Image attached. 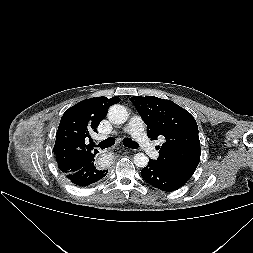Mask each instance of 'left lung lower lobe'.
Wrapping results in <instances>:
<instances>
[{
  "label": "left lung lower lobe",
  "instance_id": "left-lung-lower-lobe-1",
  "mask_svg": "<svg viewBox=\"0 0 253 253\" xmlns=\"http://www.w3.org/2000/svg\"><path fill=\"white\" fill-rule=\"evenodd\" d=\"M141 175L148 184L162 191H174L186 183L152 159H149L148 165L141 170Z\"/></svg>",
  "mask_w": 253,
  "mask_h": 253
}]
</instances>
